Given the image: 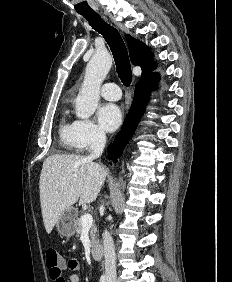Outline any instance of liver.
Returning a JSON list of instances; mask_svg holds the SVG:
<instances>
[{
    "instance_id": "1",
    "label": "liver",
    "mask_w": 232,
    "mask_h": 282,
    "mask_svg": "<svg viewBox=\"0 0 232 282\" xmlns=\"http://www.w3.org/2000/svg\"><path fill=\"white\" fill-rule=\"evenodd\" d=\"M106 177L105 169L81 155L56 154L43 162L39 189L44 226L49 234L60 215L78 200H96Z\"/></svg>"
}]
</instances>
